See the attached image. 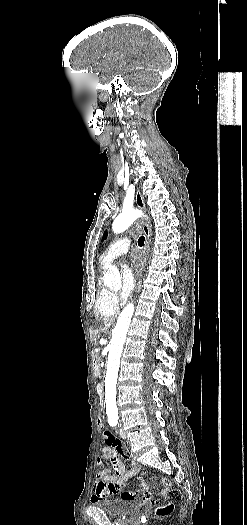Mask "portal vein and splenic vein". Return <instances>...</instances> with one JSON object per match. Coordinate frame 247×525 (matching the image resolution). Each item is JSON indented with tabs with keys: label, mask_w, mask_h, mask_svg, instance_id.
I'll return each instance as SVG.
<instances>
[{
	"label": "portal vein and splenic vein",
	"mask_w": 247,
	"mask_h": 525,
	"mask_svg": "<svg viewBox=\"0 0 247 525\" xmlns=\"http://www.w3.org/2000/svg\"><path fill=\"white\" fill-rule=\"evenodd\" d=\"M100 364H101V368H104V363H103V361H100Z\"/></svg>",
	"instance_id": "portal-vein-and-splenic-vein-1"
}]
</instances>
